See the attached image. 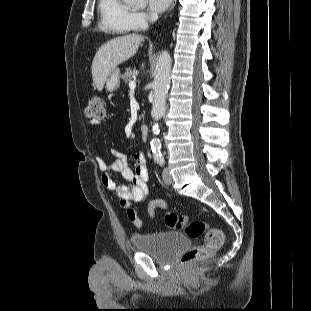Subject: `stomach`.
I'll list each match as a JSON object with an SVG mask.
<instances>
[{
  "mask_svg": "<svg viewBox=\"0 0 311 311\" xmlns=\"http://www.w3.org/2000/svg\"><path fill=\"white\" fill-rule=\"evenodd\" d=\"M106 90L109 92L115 91L120 86V71L119 69H115L111 72V74L106 79Z\"/></svg>",
  "mask_w": 311,
  "mask_h": 311,
  "instance_id": "stomach-1",
  "label": "stomach"
}]
</instances>
